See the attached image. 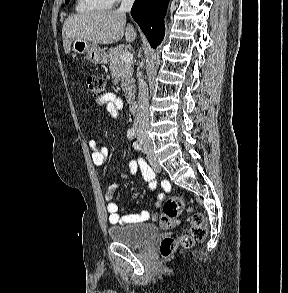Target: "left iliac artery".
Instances as JSON below:
<instances>
[{
	"label": "left iliac artery",
	"instance_id": "44dca946",
	"mask_svg": "<svg viewBox=\"0 0 288 293\" xmlns=\"http://www.w3.org/2000/svg\"><path fill=\"white\" fill-rule=\"evenodd\" d=\"M133 145H134L135 149H137V150L140 149V146H139V144L137 142H135Z\"/></svg>",
	"mask_w": 288,
	"mask_h": 293
}]
</instances>
